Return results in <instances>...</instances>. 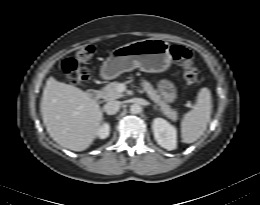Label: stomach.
<instances>
[{"label": "stomach", "mask_w": 260, "mask_h": 205, "mask_svg": "<svg viewBox=\"0 0 260 205\" xmlns=\"http://www.w3.org/2000/svg\"><path fill=\"white\" fill-rule=\"evenodd\" d=\"M169 50V43L160 38H148L120 46L104 62L101 76L111 80L135 68L150 73L166 71L173 59Z\"/></svg>", "instance_id": "obj_1"}]
</instances>
